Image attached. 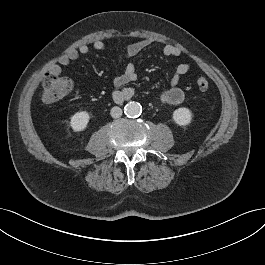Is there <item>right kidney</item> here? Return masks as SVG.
Wrapping results in <instances>:
<instances>
[{
    "label": "right kidney",
    "instance_id": "ca27d5eb",
    "mask_svg": "<svg viewBox=\"0 0 265 265\" xmlns=\"http://www.w3.org/2000/svg\"><path fill=\"white\" fill-rule=\"evenodd\" d=\"M89 114L86 111L75 113L70 120V126L74 132L83 131L89 122Z\"/></svg>",
    "mask_w": 265,
    "mask_h": 265
}]
</instances>
